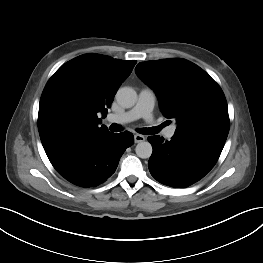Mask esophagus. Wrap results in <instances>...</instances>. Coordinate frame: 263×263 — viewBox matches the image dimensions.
Returning a JSON list of instances; mask_svg holds the SVG:
<instances>
[{"label":"esophagus","mask_w":263,"mask_h":263,"mask_svg":"<svg viewBox=\"0 0 263 263\" xmlns=\"http://www.w3.org/2000/svg\"><path fill=\"white\" fill-rule=\"evenodd\" d=\"M134 140H135V143H140V142H143L145 140V137L141 134H135Z\"/></svg>","instance_id":"34e87169"}]
</instances>
